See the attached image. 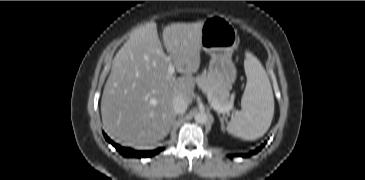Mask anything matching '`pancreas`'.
Returning a JSON list of instances; mask_svg holds the SVG:
<instances>
[{
    "instance_id": "obj_1",
    "label": "pancreas",
    "mask_w": 365,
    "mask_h": 180,
    "mask_svg": "<svg viewBox=\"0 0 365 180\" xmlns=\"http://www.w3.org/2000/svg\"><path fill=\"white\" fill-rule=\"evenodd\" d=\"M198 87L205 93L211 101H216L222 107H229V91L228 88L216 81L205 72L196 77Z\"/></svg>"
}]
</instances>
